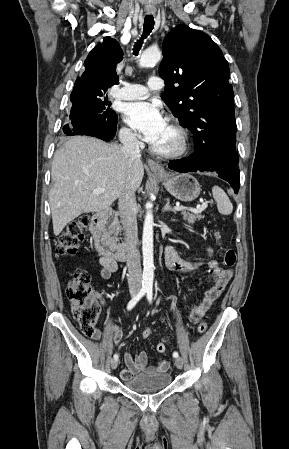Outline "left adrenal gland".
<instances>
[{
    "mask_svg": "<svg viewBox=\"0 0 289 449\" xmlns=\"http://www.w3.org/2000/svg\"><path fill=\"white\" fill-rule=\"evenodd\" d=\"M171 211L173 213H176V210L170 206V199H166V204L162 208V212Z\"/></svg>",
    "mask_w": 289,
    "mask_h": 449,
    "instance_id": "obj_1",
    "label": "left adrenal gland"
}]
</instances>
